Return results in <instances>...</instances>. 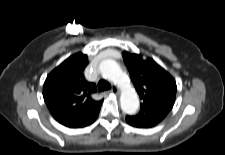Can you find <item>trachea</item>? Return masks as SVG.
Instances as JSON below:
<instances>
[{
  "instance_id": "3493384b",
  "label": "trachea",
  "mask_w": 225,
  "mask_h": 155,
  "mask_svg": "<svg viewBox=\"0 0 225 155\" xmlns=\"http://www.w3.org/2000/svg\"><path fill=\"white\" fill-rule=\"evenodd\" d=\"M99 91L109 90L111 88L110 84L105 80H100L98 83Z\"/></svg>"
}]
</instances>
